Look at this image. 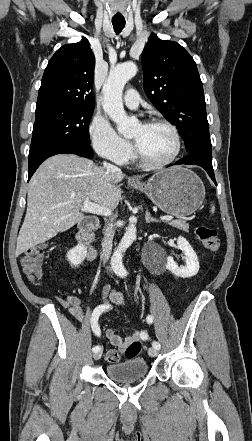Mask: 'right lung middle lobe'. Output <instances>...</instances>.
<instances>
[{
	"instance_id": "dd1d6c3e",
	"label": "right lung middle lobe",
	"mask_w": 252,
	"mask_h": 441,
	"mask_svg": "<svg viewBox=\"0 0 252 441\" xmlns=\"http://www.w3.org/2000/svg\"><path fill=\"white\" fill-rule=\"evenodd\" d=\"M93 110L61 104L36 107L30 153L62 142L90 144L88 126Z\"/></svg>"
}]
</instances>
